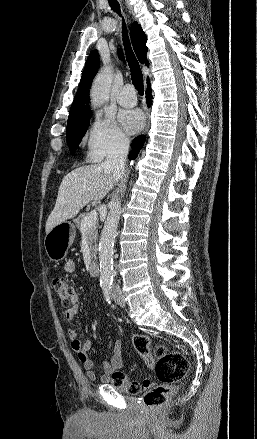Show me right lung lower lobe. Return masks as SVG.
Listing matches in <instances>:
<instances>
[{
  "instance_id": "1",
  "label": "right lung lower lobe",
  "mask_w": 257,
  "mask_h": 439,
  "mask_svg": "<svg viewBox=\"0 0 257 439\" xmlns=\"http://www.w3.org/2000/svg\"><path fill=\"white\" fill-rule=\"evenodd\" d=\"M146 99H147V105H148V107H150L152 104V90L150 87L149 79L147 80ZM144 141H145L144 136H138L133 140L132 150L129 153L130 160H133L137 157L140 149L142 148V146L144 144Z\"/></svg>"
}]
</instances>
